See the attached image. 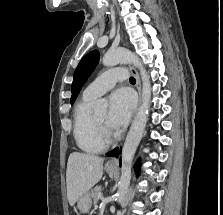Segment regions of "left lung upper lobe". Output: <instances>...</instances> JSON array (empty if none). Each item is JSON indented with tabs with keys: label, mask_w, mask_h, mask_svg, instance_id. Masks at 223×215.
I'll return each mask as SVG.
<instances>
[{
	"label": "left lung upper lobe",
	"mask_w": 223,
	"mask_h": 215,
	"mask_svg": "<svg viewBox=\"0 0 223 215\" xmlns=\"http://www.w3.org/2000/svg\"><path fill=\"white\" fill-rule=\"evenodd\" d=\"M98 61H99V53L96 50L88 53L81 59L80 63L78 64L74 72V80L72 83V96L70 100L71 104L74 103L82 86L85 84L87 78L93 72Z\"/></svg>",
	"instance_id": "1"
}]
</instances>
